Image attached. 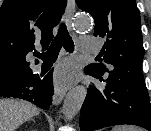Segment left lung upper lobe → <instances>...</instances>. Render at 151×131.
Segmentation results:
<instances>
[{
    "instance_id": "left-lung-upper-lobe-1",
    "label": "left lung upper lobe",
    "mask_w": 151,
    "mask_h": 131,
    "mask_svg": "<svg viewBox=\"0 0 151 131\" xmlns=\"http://www.w3.org/2000/svg\"><path fill=\"white\" fill-rule=\"evenodd\" d=\"M76 3L93 16L94 36L106 39L100 55L113 67L108 70L101 63L88 66L101 75L112 70L140 69L145 50L135 0H76Z\"/></svg>"
}]
</instances>
